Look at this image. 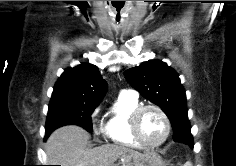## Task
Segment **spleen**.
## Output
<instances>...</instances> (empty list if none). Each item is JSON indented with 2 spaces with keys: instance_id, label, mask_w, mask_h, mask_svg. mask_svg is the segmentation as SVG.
Segmentation results:
<instances>
[{
  "instance_id": "obj_1",
  "label": "spleen",
  "mask_w": 236,
  "mask_h": 166,
  "mask_svg": "<svg viewBox=\"0 0 236 166\" xmlns=\"http://www.w3.org/2000/svg\"><path fill=\"white\" fill-rule=\"evenodd\" d=\"M184 166H192V164L190 162H187L184 164Z\"/></svg>"
}]
</instances>
